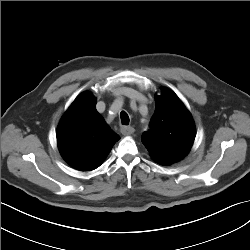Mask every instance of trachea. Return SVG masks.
<instances>
[{"instance_id":"obj_1","label":"trachea","mask_w":250,"mask_h":250,"mask_svg":"<svg viewBox=\"0 0 250 250\" xmlns=\"http://www.w3.org/2000/svg\"><path fill=\"white\" fill-rule=\"evenodd\" d=\"M120 117H121V122L123 125H128L129 124V116L125 111H122L120 113Z\"/></svg>"}]
</instances>
